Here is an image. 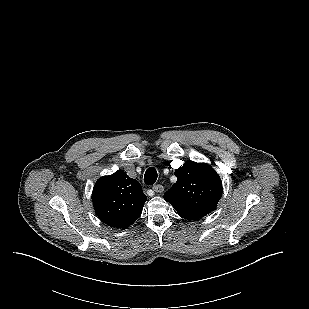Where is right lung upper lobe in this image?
I'll list each match as a JSON object with an SVG mask.
<instances>
[{
	"mask_svg": "<svg viewBox=\"0 0 309 309\" xmlns=\"http://www.w3.org/2000/svg\"><path fill=\"white\" fill-rule=\"evenodd\" d=\"M147 200L142 187L123 170L101 177L92 194L98 218L105 224L120 229L132 225L141 215Z\"/></svg>",
	"mask_w": 309,
	"mask_h": 309,
	"instance_id": "1",
	"label": "right lung upper lobe"
}]
</instances>
